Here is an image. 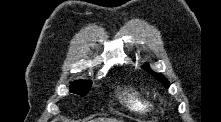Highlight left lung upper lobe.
Returning a JSON list of instances; mask_svg holds the SVG:
<instances>
[{
  "label": "left lung upper lobe",
  "mask_w": 221,
  "mask_h": 122,
  "mask_svg": "<svg viewBox=\"0 0 221 122\" xmlns=\"http://www.w3.org/2000/svg\"><path fill=\"white\" fill-rule=\"evenodd\" d=\"M144 70L152 74L158 81H160L166 88L169 87L168 80L160 73L153 72L147 65L142 66Z\"/></svg>",
  "instance_id": "5c2ea615"
}]
</instances>
